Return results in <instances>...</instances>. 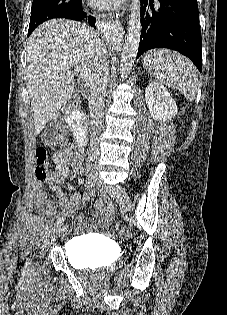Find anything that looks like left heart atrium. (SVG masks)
Returning a JSON list of instances; mask_svg holds the SVG:
<instances>
[{"mask_svg":"<svg viewBox=\"0 0 227 315\" xmlns=\"http://www.w3.org/2000/svg\"><path fill=\"white\" fill-rule=\"evenodd\" d=\"M97 6L105 10H116L121 4L122 0H92Z\"/></svg>","mask_w":227,"mask_h":315,"instance_id":"39dd6f15","label":"left heart atrium"}]
</instances>
